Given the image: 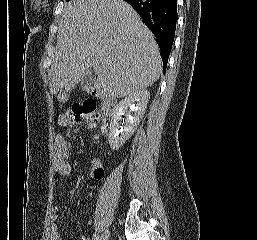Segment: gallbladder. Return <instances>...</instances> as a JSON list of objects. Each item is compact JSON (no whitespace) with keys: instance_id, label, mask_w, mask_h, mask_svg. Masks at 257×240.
I'll use <instances>...</instances> for the list:
<instances>
[{"instance_id":"1","label":"gallbladder","mask_w":257,"mask_h":240,"mask_svg":"<svg viewBox=\"0 0 257 240\" xmlns=\"http://www.w3.org/2000/svg\"><path fill=\"white\" fill-rule=\"evenodd\" d=\"M90 84V80L89 79H83L80 83V88L82 90L86 89V86Z\"/></svg>"}]
</instances>
